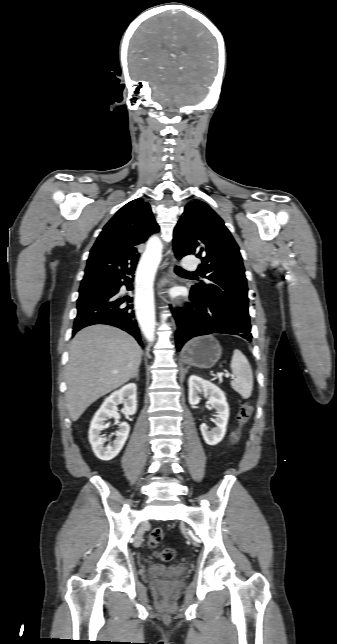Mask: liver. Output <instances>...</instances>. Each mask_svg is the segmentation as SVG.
<instances>
[{"label":"liver","instance_id":"obj_1","mask_svg":"<svg viewBox=\"0 0 337 644\" xmlns=\"http://www.w3.org/2000/svg\"><path fill=\"white\" fill-rule=\"evenodd\" d=\"M142 350L126 332L107 325L79 331L69 346L66 406L77 421L97 399L128 382L139 371Z\"/></svg>","mask_w":337,"mask_h":644}]
</instances>
